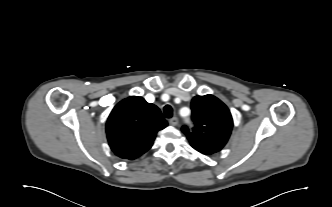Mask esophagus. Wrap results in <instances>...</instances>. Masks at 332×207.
I'll return each instance as SVG.
<instances>
[{
	"instance_id": "34e87169",
	"label": "esophagus",
	"mask_w": 332,
	"mask_h": 207,
	"mask_svg": "<svg viewBox=\"0 0 332 207\" xmlns=\"http://www.w3.org/2000/svg\"><path fill=\"white\" fill-rule=\"evenodd\" d=\"M169 124L172 126H176L178 125V118L177 117H173L169 120Z\"/></svg>"
}]
</instances>
